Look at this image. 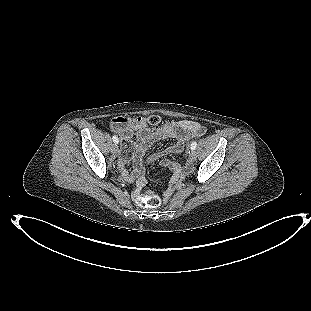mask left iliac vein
<instances>
[{
  "instance_id": "1",
  "label": "left iliac vein",
  "mask_w": 311,
  "mask_h": 311,
  "mask_svg": "<svg viewBox=\"0 0 311 311\" xmlns=\"http://www.w3.org/2000/svg\"><path fill=\"white\" fill-rule=\"evenodd\" d=\"M189 157L191 160H195L196 159V152L194 150H191L189 152Z\"/></svg>"
}]
</instances>
